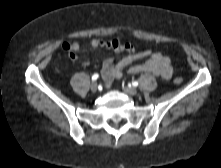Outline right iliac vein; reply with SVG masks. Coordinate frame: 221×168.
<instances>
[{"instance_id": "right-iliac-vein-1", "label": "right iliac vein", "mask_w": 221, "mask_h": 168, "mask_svg": "<svg viewBox=\"0 0 221 168\" xmlns=\"http://www.w3.org/2000/svg\"><path fill=\"white\" fill-rule=\"evenodd\" d=\"M91 91L92 92H96L97 90H98V85H97V83H95V82H93L92 84H91Z\"/></svg>"}]
</instances>
